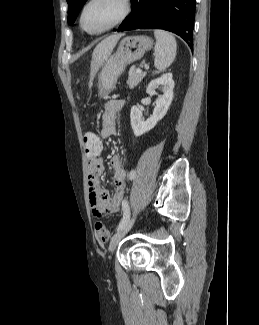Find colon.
I'll use <instances>...</instances> for the list:
<instances>
[{"mask_svg":"<svg viewBox=\"0 0 259 325\" xmlns=\"http://www.w3.org/2000/svg\"><path fill=\"white\" fill-rule=\"evenodd\" d=\"M85 151H94L95 149H102L103 143L101 138H97L96 134L88 132L84 136ZM95 234L99 241L106 242L110 237V232L102 222H96Z\"/></svg>","mask_w":259,"mask_h":325,"instance_id":"1","label":"colon"}]
</instances>
